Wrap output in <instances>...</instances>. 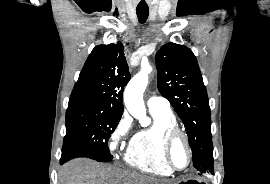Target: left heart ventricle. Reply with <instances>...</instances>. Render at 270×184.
<instances>
[{"label": "left heart ventricle", "instance_id": "obj_1", "mask_svg": "<svg viewBox=\"0 0 270 184\" xmlns=\"http://www.w3.org/2000/svg\"><path fill=\"white\" fill-rule=\"evenodd\" d=\"M171 161L177 168H184L188 162L187 149L181 138L176 139L173 143Z\"/></svg>", "mask_w": 270, "mask_h": 184}]
</instances>
